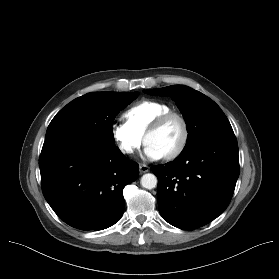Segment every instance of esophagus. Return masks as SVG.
Instances as JSON below:
<instances>
[{"label": "esophagus", "instance_id": "obj_1", "mask_svg": "<svg viewBox=\"0 0 279 279\" xmlns=\"http://www.w3.org/2000/svg\"><path fill=\"white\" fill-rule=\"evenodd\" d=\"M139 170L141 173H146L150 170V168L146 164H141Z\"/></svg>", "mask_w": 279, "mask_h": 279}]
</instances>
